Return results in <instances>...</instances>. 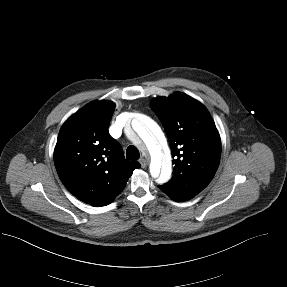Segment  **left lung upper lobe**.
Instances as JSON below:
<instances>
[{
    "mask_svg": "<svg viewBox=\"0 0 287 287\" xmlns=\"http://www.w3.org/2000/svg\"><path fill=\"white\" fill-rule=\"evenodd\" d=\"M151 108L165 128L173 156V177L164 186L191 199L219 166L221 140L215 123L203 104L180 92L154 98Z\"/></svg>",
    "mask_w": 287,
    "mask_h": 287,
    "instance_id": "1",
    "label": "left lung upper lobe"
}]
</instances>
